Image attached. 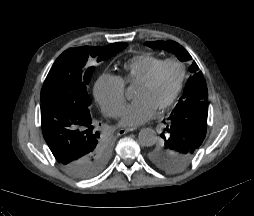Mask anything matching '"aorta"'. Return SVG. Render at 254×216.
I'll use <instances>...</instances> for the list:
<instances>
[{"instance_id": "762f6f07", "label": "aorta", "mask_w": 254, "mask_h": 216, "mask_svg": "<svg viewBox=\"0 0 254 216\" xmlns=\"http://www.w3.org/2000/svg\"><path fill=\"white\" fill-rule=\"evenodd\" d=\"M138 138L140 144L146 147L153 146L157 141L156 132L151 128L141 129Z\"/></svg>"}]
</instances>
